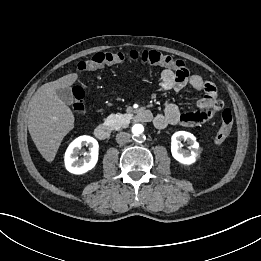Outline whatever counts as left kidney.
I'll use <instances>...</instances> for the list:
<instances>
[{"instance_id": "1", "label": "left kidney", "mask_w": 261, "mask_h": 261, "mask_svg": "<svg viewBox=\"0 0 261 261\" xmlns=\"http://www.w3.org/2000/svg\"><path fill=\"white\" fill-rule=\"evenodd\" d=\"M186 141L191 146V151L181 148V141ZM171 153L178 162L191 165L196 161L200 154L199 143L193 134L185 131H179L173 134L171 138Z\"/></svg>"}]
</instances>
